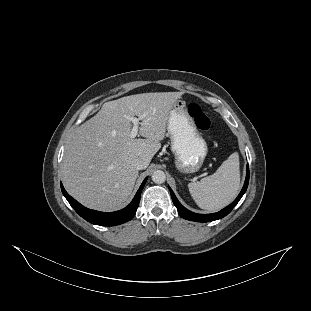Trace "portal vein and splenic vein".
I'll list each match as a JSON object with an SVG mask.
<instances>
[{"label":"portal vein and splenic vein","mask_w":311,"mask_h":311,"mask_svg":"<svg viewBox=\"0 0 311 311\" xmlns=\"http://www.w3.org/2000/svg\"><path fill=\"white\" fill-rule=\"evenodd\" d=\"M127 119L133 123V127L130 132V138L134 139L138 135L139 121L141 119L137 117H127Z\"/></svg>","instance_id":"18ae733b"}]
</instances>
